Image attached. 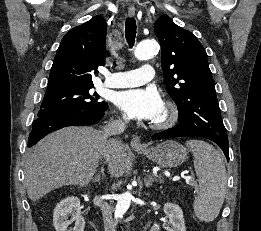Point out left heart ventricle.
Segmentation results:
<instances>
[{
  "instance_id": "1",
  "label": "left heart ventricle",
  "mask_w": 261,
  "mask_h": 231,
  "mask_svg": "<svg viewBox=\"0 0 261 231\" xmlns=\"http://www.w3.org/2000/svg\"><path fill=\"white\" fill-rule=\"evenodd\" d=\"M164 116V108L160 112V114L154 119V121L161 119Z\"/></svg>"
}]
</instances>
